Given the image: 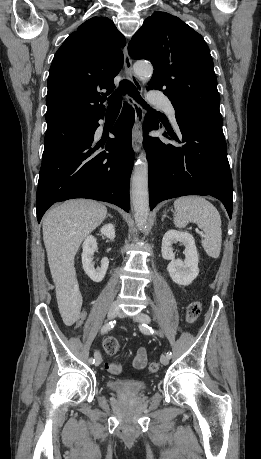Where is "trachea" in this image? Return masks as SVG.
<instances>
[{"instance_id":"trachea-1","label":"trachea","mask_w":261,"mask_h":459,"mask_svg":"<svg viewBox=\"0 0 261 459\" xmlns=\"http://www.w3.org/2000/svg\"><path fill=\"white\" fill-rule=\"evenodd\" d=\"M130 95L136 102H138L140 105H142L145 108H149V106L146 104V102L142 99L140 96L139 92L137 91L136 87L130 82L129 80H122L120 82V87L119 90H116L115 94H113L109 98V106L108 110L109 111H116L120 110L121 108V95L126 94Z\"/></svg>"}]
</instances>
